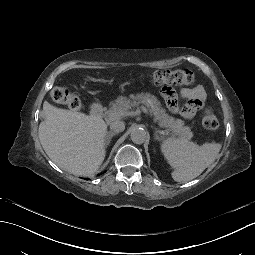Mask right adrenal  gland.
Segmentation results:
<instances>
[{
	"label": "right adrenal gland",
	"instance_id": "right-adrenal-gland-1",
	"mask_svg": "<svg viewBox=\"0 0 255 255\" xmlns=\"http://www.w3.org/2000/svg\"><path fill=\"white\" fill-rule=\"evenodd\" d=\"M114 135H116V133H115V132H112V131H110V132L107 133V135H106V137H105V139H104V146H105V147H107V146L109 145V143H110V141H111V139H112V137H113Z\"/></svg>",
	"mask_w": 255,
	"mask_h": 255
}]
</instances>
